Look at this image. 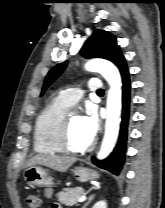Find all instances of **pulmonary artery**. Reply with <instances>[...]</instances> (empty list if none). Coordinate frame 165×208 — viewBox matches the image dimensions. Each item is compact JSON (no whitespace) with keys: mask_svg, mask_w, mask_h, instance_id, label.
<instances>
[{"mask_svg":"<svg viewBox=\"0 0 165 208\" xmlns=\"http://www.w3.org/2000/svg\"><path fill=\"white\" fill-rule=\"evenodd\" d=\"M102 89V82L99 78H92L88 81L87 90L97 93ZM84 90L80 88H70L63 90L58 95V100L66 106L75 105L83 96Z\"/></svg>","mask_w":165,"mask_h":208,"instance_id":"e3ab8cb5","label":"pulmonary artery"}]
</instances>
